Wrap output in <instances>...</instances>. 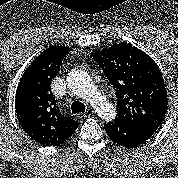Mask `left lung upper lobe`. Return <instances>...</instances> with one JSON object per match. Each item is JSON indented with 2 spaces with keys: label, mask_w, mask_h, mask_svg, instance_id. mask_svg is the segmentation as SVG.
<instances>
[{
  "label": "left lung upper lobe",
  "mask_w": 178,
  "mask_h": 178,
  "mask_svg": "<svg viewBox=\"0 0 178 178\" xmlns=\"http://www.w3.org/2000/svg\"><path fill=\"white\" fill-rule=\"evenodd\" d=\"M91 54L115 88L118 98L115 119L160 126L167 112L168 95L154 60L124 42Z\"/></svg>",
  "instance_id": "5c2ea615"
}]
</instances>
